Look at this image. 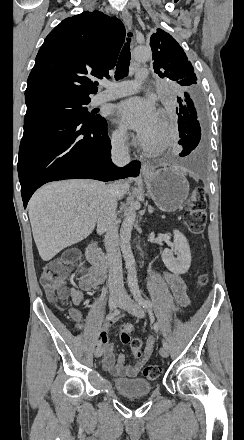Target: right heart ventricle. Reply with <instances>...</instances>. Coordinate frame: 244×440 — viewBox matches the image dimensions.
Listing matches in <instances>:
<instances>
[{"label": "right heart ventricle", "instance_id": "1", "mask_svg": "<svg viewBox=\"0 0 244 440\" xmlns=\"http://www.w3.org/2000/svg\"><path fill=\"white\" fill-rule=\"evenodd\" d=\"M153 128L148 132V135H153Z\"/></svg>", "mask_w": 244, "mask_h": 440}]
</instances>
